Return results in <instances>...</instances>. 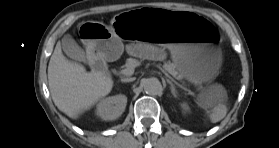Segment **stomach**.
Returning a JSON list of instances; mask_svg holds the SVG:
<instances>
[{"label":"stomach","instance_id":"0dacf381","mask_svg":"<svg viewBox=\"0 0 279 148\" xmlns=\"http://www.w3.org/2000/svg\"><path fill=\"white\" fill-rule=\"evenodd\" d=\"M111 24L84 22L77 32L79 46L112 60L122 53V39L157 43L171 50L179 73L193 84L209 81L219 68L224 31L210 16L140 9L116 15Z\"/></svg>","mask_w":279,"mask_h":148}]
</instances>
